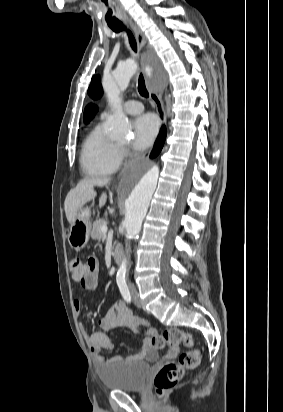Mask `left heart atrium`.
<instances>
[{"mask_svg":"<svg viewBox=\"0 0 283 412\" xmlns=\"http://www.w3.org/2000/svg\"><path fill=\"white\" fill-rule=\"evenodd\" d=\"M159 122L153 114H144L134 121L133 147L137 150L148 148L156 139Z\"/></svg>","mask_w":283,"mask_h":412,"instance_id":"left-heart-atrium-1","label":"left heart atrium"}]
</instances>
